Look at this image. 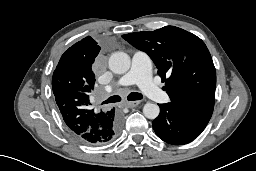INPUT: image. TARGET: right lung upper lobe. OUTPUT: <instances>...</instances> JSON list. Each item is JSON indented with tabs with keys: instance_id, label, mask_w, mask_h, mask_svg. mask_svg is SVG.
<instances>
[{
	"instance_id": "obj_1",
	"label": "right lung upper lobe",
	"mask_w": 256,
	"mask_h": 171,
	"mask_svg": "<svg viewBox=\"0 0 256 171\" xmlns=\"http://www.w3.org/2000/svg\"><path fill=\"white\" fill-rule=\"evenodd\" d=\"M99 51L97 42L87 36L65 51L53 73L56 103L66 125L76 137L96 133L106 117L111 115V109L96 110L89 101L95 83L91 66Z\"/></svg>"
}]
</instances>
